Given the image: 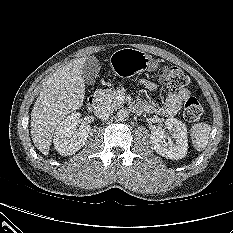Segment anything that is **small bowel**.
<instances>
[{
	"mask_svg": "<svg viewBox=\"0 0 233 233\" xmlns=\"http://www.w3.org/2000/svg\"><path fill=\"white\" fill-rule=\"evenodd\" d=\"M141 84L150 91H156L158 88L156 84L149 81H142ZM190 94L191 93L187 88H183L177 92L168 94L164 102L161 104L141 102L137 107L139 110L148 113L171 117L179 111L182 102L186 101L190 97Z\"/></svg>",
	"mask_w": 233,
	"mask_h": 233,
	"instance_id": "1",
	"label": "small bowel"
}]
</instances>
